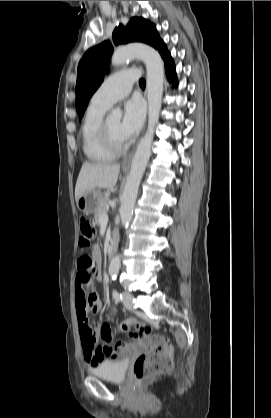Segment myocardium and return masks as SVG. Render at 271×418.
Returning a JSON list of instances; mask_svg holds the SVG:
<instances>
[{
	"label": "myocardium",
	"instance_id": "1",
	"mask_svg": "<svg viewBox=\"0 0 271 418\" xmlns=\"http://www.w3.org/2000/svg\"><path fill=\"white\" fill-rule=\"evenodd\" d=\"M99 136L103 146L110 152L119 154L124 151L125 143L123 139H117L114 137L109 128L107 118L103 119L100 125Z\"/></svg>",
	"mask_w": 271,
	"mask_h": 418
}]
</instances>
